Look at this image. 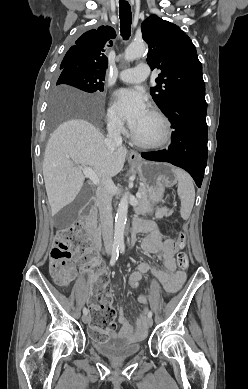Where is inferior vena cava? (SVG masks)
Returning <instances> with one entry per match:
<instances>
[{
  "label": "inferior vena cava",
  "mask_w": 248,
  "mask_h": 389,
  "mask_svg": "<svg viewBox=\"0 0 248 389\" xmlns=\"http://www.w3.org/2000/svg\"><path fill=\"white\" fill-rule=\"evenodd\" d=\"M108 137L105 140L106 146L110 151L122 145L121 124L116 118L110 120L108 124ZM114 183L110 177L101 179V185L97 188V206L100 213L102 227V236L104 247L107 252L113 250V217H112V192Z\"/></svg>",
  "instance_id": "obj_1"
}]
</instances>
